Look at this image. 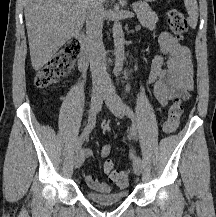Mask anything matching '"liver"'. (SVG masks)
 Listing matches in <instances>:
<instances>
[{
	"label": "liver",
	"instance_id": "liver-1",
	"mask_svg": "<svg viewBox=\"0 0 216 217\" xmlns=\"http://www.w3.org/2000/svg\"><path fill=\"white\" fill-rule=\"evenodd\" d=\"M105 0H100L103 4ZM92 0H23L31 63L41 69L83 27Z\"/></svg>",
	"mask_w": 216,
	"mask_h": 217
}]
</instances>
